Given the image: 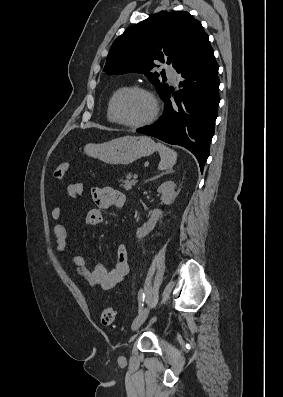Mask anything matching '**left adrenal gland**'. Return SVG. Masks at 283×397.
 I'll return each instance as SVG.
<instances>
[{
    "label": "left adrenal gland",
    "mask_w": 283,
    "mask_h": 397,
    "mask_svg": "<svg viewBox=\"0 0 283 397\" xmlns=\"http://www.w3.org/2000/svg\"><path fill=\"white\" fill-rule=\"evenodd\" d=\"M170 172H171L170 170H169V171H166V172H163V173H161V174H159V175H157V176H154L153 178L147 180L146 182L156 180V179L160 178L161 176H163V175H165V174H168V173H170Z\"/></svg>",
    "instance_id": "left-adrenal-gland-1"
}]
</instances>
